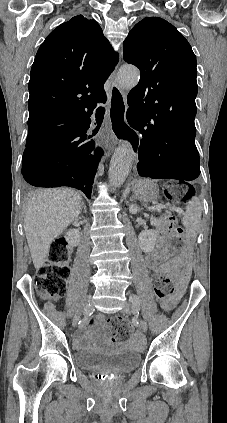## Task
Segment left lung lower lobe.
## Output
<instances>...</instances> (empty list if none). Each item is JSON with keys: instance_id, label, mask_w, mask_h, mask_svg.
Returning <instances> with one entry per match:
<instances>
[{"instance_id": "left-lung-lower-lobe-1", "label": "left lung lower lobe", "mask_w": 227, "mask_h": 423, "mask_svg": "<svg viewBox=\"0 0 227 423\" xmlns=\"http://www.w3.org/2000/svg\"><path fill=\"white\" fill-rule=\"evenodd\" d=\"M195 115L128 108V123L142 134L137 165L141 176L177 179L181 183L199 176Z\"/></svg>"}]
</instances>
